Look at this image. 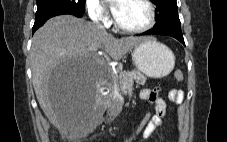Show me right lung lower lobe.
Wrapping results in <instances>:
<instances>
[{"label":"right lung lower lobe","mask_w":227,"mask_h":142,"mask_svg":"<svg viewBox=\"0 0 227 142\" xmlns=\"http://www.w3.org/2000/svg\"><path fill=\"white\" fill-rule=\"evenodd\" d=\"M74 15L76 17H82V13L79 12H69V11H65V12H56V13H52V14H47V15H43V16H39L35 18V23L33 26V30L32 33H34L39 27H41L49 18L57 16V15Z\"/></svg>","instance_id":"obj_1"}]
</instances>
